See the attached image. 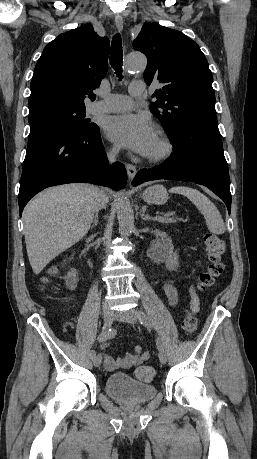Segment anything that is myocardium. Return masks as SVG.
Returning a JSON list of instances; mask_svg holds the SVG:
<instances>
[{"instance_id":"myocardium-1","label":"myocardium","mask_w":257,"mask_h":459,"mask_svg":"<svg viewBox=\"0 0 257 459\" xmlns=\"http://www.w3.org/2000/svg\"><path fill=\"white\" fill-rule=\"evenodd\" d=\"M157 138L159 139L161 150L155 154L146 155L147 161L153 164H159L167 161L174 152L173 143L163 131L158 130Z\"/></svg>"}]
</instances>
